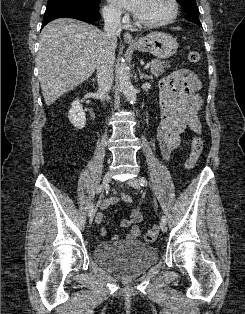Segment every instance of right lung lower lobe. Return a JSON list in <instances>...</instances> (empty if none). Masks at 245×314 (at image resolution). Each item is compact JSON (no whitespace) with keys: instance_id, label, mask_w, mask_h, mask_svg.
I'll return each instance as SVG.
<instances>
[{"instance_id":"obj_1","label":"right lung lower lobe","mask_w":245,"mask_h":314,"mask_svg":"<svg viewBox=\"0 0 245 314\" xmlns=\"http://www.w3.org/2000/svg\"><path fill=\"white\" fill-rule=\"evenodd\" d=\"M99 9H92L77 5H54L46 7L44 19L42 22L43 28L48 22L57 18H75L85 21L87 23H93L98 21L101 16L98 12Z\"/></svg>"}]
</instances>
